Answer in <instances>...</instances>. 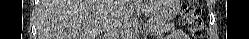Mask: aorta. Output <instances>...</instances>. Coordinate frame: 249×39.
<instances>
[{"instance_id":"1","label":"aorta","mask_w":249,"mask_h":39,"mask_svg":"<svg viewBox=\"0 0 249 39\" xmlns=\"http://www.w3.org/2000/svg\"><path fill=\"white\" fill-rule=\"evenodd\" d=\"M138 36V30L136 28V21H132L126 33L127 39H136Z\"/></svg>"}]
</instances>
